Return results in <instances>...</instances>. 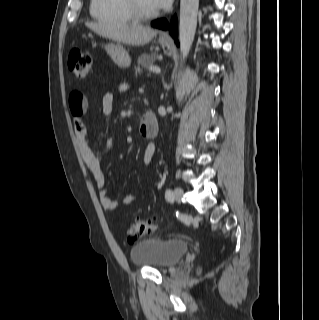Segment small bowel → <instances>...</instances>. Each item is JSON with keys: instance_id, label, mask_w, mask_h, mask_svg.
Returning <instances> with one entry per match:
<instances>
[{"instance_id": "obj_1", "label": "small bowel", "mask_w": 319, "mask_h": 320, "mask_svg": "<svg viewBox=\"0 0 319 320\" xmlns=\"http://www.w3.org/2000/svg\"><path fill=\"white\" fill-rule=\"evenodd\" d=\"M87 107V99L80 91H73L69 96V108L73 116L74 129L77 138V145L82 160L91 173L92 178L99 189V199L101 205L106 210H114L118 206L117 200L112 198L105 186V179L101 170V154L92 148V141L88 129L83 122V116ZM114 109V96L106 93L102 98V112L104 115H110ZM112 142L106 144V152L112 149ZM155 152V146L152 143L147 144L143 153V161L150 164ZM136 200L135 194H127L122 199V204L130 205Z\"/></svg>"}]
</instances>
